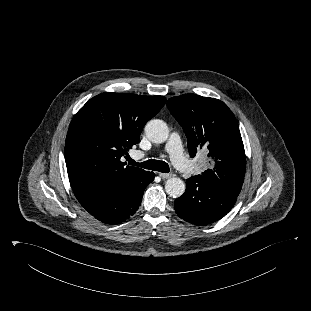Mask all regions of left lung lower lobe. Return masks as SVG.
I'll use <instances>...</instances> for the list:
<instances>
[{"mask_svg": "<svg viewBox=\"0 0 311 311\" xmlns=\"http://www.w3.org/2000/svg\"><path fill=\"white\" fill-rule=\"evenodd\" d=\"M236 200L237 196L196 175L186 180V191L175 200V211L181 219L203 226L221 219Z\"/></svg>", "mask_w": 311, "mask_h": 311, "instance_id": "1", "label": "left lung lower lobe"}]
</instances>
